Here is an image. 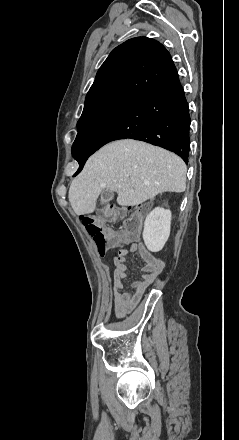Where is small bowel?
<instances>
[{
    "label": "small bowel",
    "mask_w": 239,
    "mask_h": 440,
    "mask_svg": "<svg viewBox=\"0 0 239 440\" xmlns=\"http://www.w3.org/2000/svg\"><path fill=\"white\" fill-rule=\"evenodd\" d=\"M139 251L141 258L145 262L138 281L131 284L128 291L124 290V280L128 277L129 268L126 265L128 256ZM114 302L115 312L118 316H123L130 312L141 299L146 288L151 285L162 272L164 263L162 260L152 255L143 245L132 243L128 249L120 250L114 258Z\"/></svg>",
    "instance_id": "c3829d8e"
}]
</instances>
